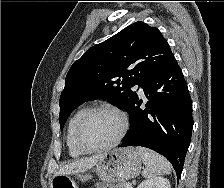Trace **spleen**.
Listing matches in <instances>:
<instances>
[{"label":"spleen","mask_w":224,"mask_h":188,"mask_svg":"<svg viewBox=\"0 0 224 188\" xmlns=\"http://www.w3.org/2000/svg\"><path fill=\"white\" fill-rule=\"evenodd\" d=\"M136 151L145 164V169L142 171L143 177L150 178L171 173V165L163 156L140 146L136 147Z\"/></svg>","instance_id":"spleen-1"}]
</instances>
